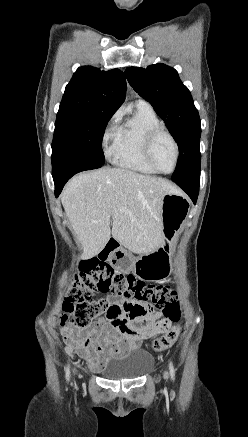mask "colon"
I'll return each instance as SVG.
<instances>
[{
    "instance_id": "1",
    "label": "colon",
    "mask_w": 248,
    "mask_h": 437,
    "mask_svg": "<svg viewBox=\"0 0 248 437\" xmlns=\"http://www.w3.org/2000/svg\"><path fill=\"white\" fill-rule=\"evenodd\" d=\"M112 294H129V298L152 301L163 309L164 334L154 340L152 348L161 351L171 346L178 335V327L172 326L180 319L177 294L168 286H151L133 274L115 272L114 267L103 258L82 261L79 272L70 284L63 303L61 324L83 328L105 312L110 304L106 299L95 300L94 291Z\"/></svg>"
}]
</instances>
